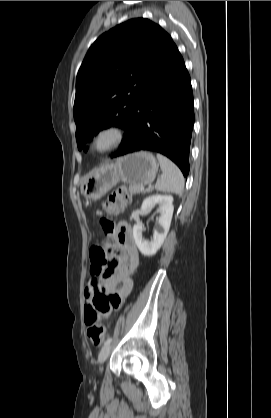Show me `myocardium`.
<instances>
[{"label": "myocardium", "mask_w": 271, "mask_h": 418, "mask_svg": "<svg viewBox=\"0 0 271 418\" xmlns=\"http://www.w3.org/2000/svg\"><path fill=\"white\" fill-rule=\"evenodd\" d=\"M124 140V130L115 124L98 128L90 139V150L97 155H104L119 148Z\"/></svg>", "instance_id": "1"}]
</instances>
